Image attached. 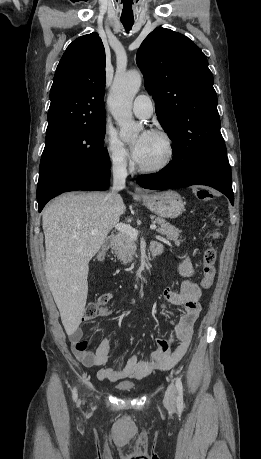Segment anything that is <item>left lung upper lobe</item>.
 Masks as SVG:
<instances>
[{"label": "left lung upper lobe", "mask_w": 261, "mask_h": 459, "mask_svg": "<svg viewBox=\"0 0 261 459\" xmlns=\"http://www.w3.org/2000/svg\"><path fill=\"white\" fill-rule=\"evenodd\" d=\"M136 60L158 120L173 141L170 165L184 171L201 158L226 152L213 75L200 48L159 27L143 41Z\"/></svg>", "instance_id": "left-lung-upper-lobe-1"}]
</instances>
